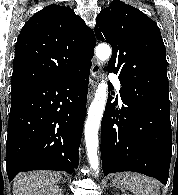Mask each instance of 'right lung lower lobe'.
<instances>
[{"mask_svg":"<svg viewBox=\"0 0 178 195\" xmlns=\"http://www.w3.org/2000/svg\"><path fill=\"white\" fill-rule=\"evenodd\" d=\"M90 68L12 89L6 143L9 182L21 171L73 173L78 167Z\"/></svg>","mask_w":178,"mask_h":195,"instance_id":"1","label":"right lung lower lobe"}]
</instances>
